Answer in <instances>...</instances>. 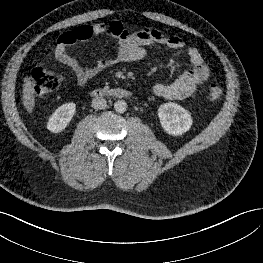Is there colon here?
I'll use <instances>...</instances> for the list:
<instances>
[{
    "label": "colon",
    "instance_id": "obj_1",
    "mask_svg": "<svg viewBox=\"0 0 263 263\" xmlns=\"http://www.w3.org/2000/svg\"><path fill=\"white\" fill-rule=\"evenodd\" d=\"M61 81L62 76L42 67H36L31 72L32 89L36 95L43 96L52 93L59 87ZM207 94L210 100H218L223 95V87L218 83H212L208 87Z\"/></svg>",
    "mask_w": 263,
    "mask_h": 263
}]
</instances>
